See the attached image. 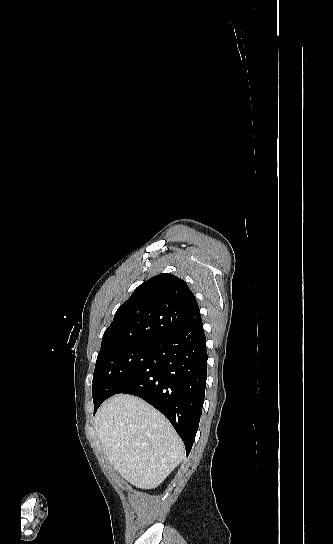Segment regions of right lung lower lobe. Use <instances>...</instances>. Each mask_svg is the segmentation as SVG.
Here are the masks:
<instances>
[{
	"instance_id": "right-lung-lower-lobe-1",
	"label": "right lung lower lobe",
	"mask_w": 333,
	"mask_h": 544,
	"mask_svg": "<svg viewBox=\"0 0 333 544\" xmlns=\"http://www.w3.org/2000/svg\"><path fill=\"white\" fill-rule=\"evenodd\" d=\"M207 359L201 321L156 341L147 363L117 392L141 397L163 413L182 438L186 455L202 413Z\"/></svg>"
}]
</instances>
